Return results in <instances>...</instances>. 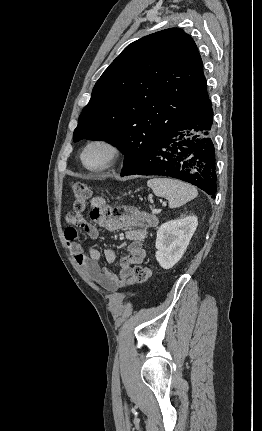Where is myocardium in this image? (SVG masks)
Wrapping results in <instances>:
<instances>
[{
    "mask_svg": "<svg viewBox=\"0 0 262 431\" xmlns=\"http://www.w3.org/2000/svg\"><path fill=\"white\" fill-rule=\"evenodd\" d=\"M96 146L103 147L107 151V158L102 165L98 167H89L85 163V156H86V153L91 148ZM121 156H122V148L116 141L106 137H99V138H94L86 143V145L84 146L81 152L80 160H81L82 166L87 171L92 173H99L115 167L118 161L120 160Z\"/></svg>",
    "mask_w": 262,
    "mask_h": 431,
    "instance_id": "1",
    "label": "myocardium"
}]
</instances>
